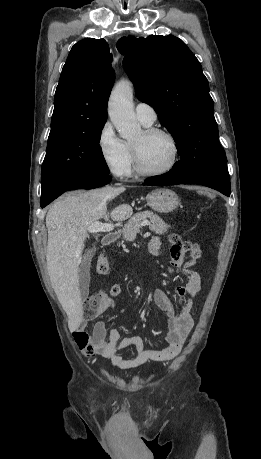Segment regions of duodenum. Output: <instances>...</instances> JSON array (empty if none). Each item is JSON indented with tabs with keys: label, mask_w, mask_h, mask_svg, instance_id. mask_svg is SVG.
Returning <instances> with one entry per match:
<instances>
[{
	"label": "duodenum",
	"mask_w": 261,
	"mask_h": 459,
	"mask_svg": "<svg viewBox=\"0 0 261 459\" xmlns=\"http://www.w3.org/2000/svg\"><path fill=\"white\" fill-rule=\"evenodd\" d=\"M118 237V233L117 232H110V233H107L103 239H102V243L104 245H110L111 243H113Z\"/></svg>",
	"instance_id": "obj_1"
}]
</instances>
